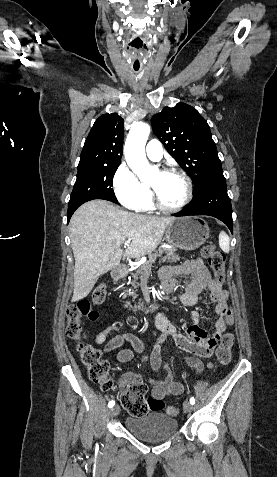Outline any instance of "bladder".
Returning a JSON list of instances; mask_svg holds the SVG:
<instances>
[{"label": "bladder", "mask_w": 277, "mask_h": 477, "mask_svg": "<svg viewBox=\"0 0 277 477\" xmlns=\"http://www.w3.org/2000/svg\"><path fill=\"white\" fill-rule=\"evenodd\" d=\"M125 427L142 440L159 441L177 431L178 421L170 415L152 411L142 416L127 417Z\"/></svg>", "instance_id": "obj_1"}]
</instances>
